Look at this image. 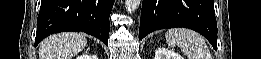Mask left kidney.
Instances as JSON below:
<instances>
[{
  "label": "left kidney",
  "instance_id": "1",
  "mask_svg": "<svg viewBox=\"0 0 261 59\" xmlns=\"http://www.w3.org/2000/svg\"><path fill=\"white\" fill-rule=\"evenodd\" d=\"M155 59H183V57L172 50L162 47L156 50Z\"/></svg>",
  "mask_w": 261,
  "mask_h": 59
}]
</instances>
